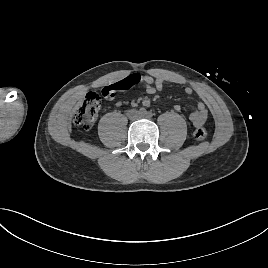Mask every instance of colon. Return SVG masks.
Listing matches in <instances>:
<instances>
[{"instance_id": "obj_1", "label": "colon", "mask_w": 268, "mask_h": 268, "mask_svg": "<svg viewBox=\"0 0 268 268\" xmlns=\"http://www.w3.org/2000/svg\"><path fill=\"white\" fill-rule=\"evenodd\" d=\"M136 85V80L126 78L118 83L106 86L102 89L101 95L106 99H111L116 92L130 89ZM101 106V96L96 92H89L86 94L83 102L76 108L74 112V123L83 129H90L94 125L98 112ZM193 136L196 140H204L207 136L206 129L198 127L195 129Z\"/></svg>"}]
</instances>
